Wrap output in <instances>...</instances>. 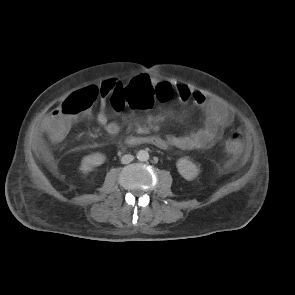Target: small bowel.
Wrapping results in <instances>:
<instances>
[{"mask_svg": "<svg viewBox=\"0 0 295 295\" xmlns=\"http://www.w3.org/2000/svg\"><path fill=\"white\" fill-rule=\"evenodd\" d=\"M104 84L101 86L103 101L96 119L107 133L116 135L120 131V126L117 122L111 121L108 117L106 101L108 95L103 91ZM164 84L170 85L173 88L174 95L181 103L193 102L205 112L206 120L204 126L186 135H167L165 137L157 135L130 136L126 139V143L128 145L148 143L160 149L176 147L182 150L204 149L212 145L220 130L228 125L232 118L229 110L224 105L207 99L203 93L190 88L184 83H169L146 74L134 76L127 82L126 87H145L146 85L156 87ZM55 116L56 112L54 110L44 119L42 128L45 132L48 133V128L55 120ZM235 163L236 160L234 159L229 161L230 165H234Z\"/></svg>", "mask_w": 295, "mask_h": 295, "instance_id": "obj_1", "label": "small bowel"}]
</instances>
